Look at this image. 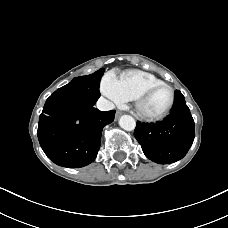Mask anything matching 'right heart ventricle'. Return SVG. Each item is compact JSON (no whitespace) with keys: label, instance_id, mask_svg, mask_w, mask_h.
Listing matches in <instances>:
<instances>
[{"label":"right heart ventricle","instance_id":"right-heart-ventricle-1","mask_svg":"<svg viewBox=\"0 0 228 228\" xmlns=\"http://www.w3.org/2000/svg\"><path fill=\"white\" fill-rule=\"evenodd\" d=\"M163 82L155 75L142 70H128L117 78V87L121 95L128 100H134L147 86Z\"/></svg>","mask_w":228,"mask_h":228}]
</instances>
